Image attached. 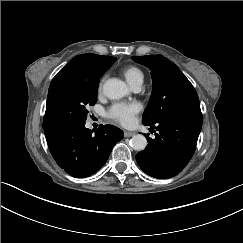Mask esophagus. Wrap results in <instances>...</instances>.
<instances>
[{
    "label": "esophagus",
    "mask_w": 243,
    "mask_h": 243,
    "mask_svg": "<svg viewBox=\"0 0 243 243\" xmlns=\"http://www.w3.org/2000/svg\"><path fill=\"white\" fill-rule=\"evenodd\" d=\"M134 135H135L134 132H128V131H125V132H124V136H125V137H132V136H134Z\"/></svg>",
    "instance_id": "esophagus-1"
}]
</instances>
